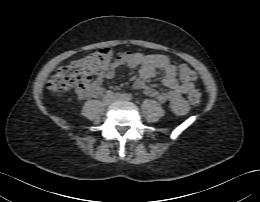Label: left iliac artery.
I'll return each instance as SVG.
<instances>
[{"label":"left iliac artery","mask_w":260,"mask_h":202,"mask_svg":"<svg viewBox=\"0 0 260 202\" xmlns=\"http://www.w3.org/2000/svg\"><path fill=\"white\" fill-rule=\"evenodd\" d=\"M125 96H126L127 100H132V98H133L131 94H125Z\"/></svg>","instance_id":"1"}]
</instances>
